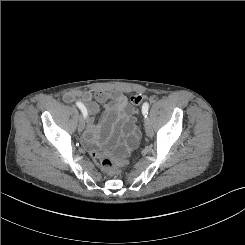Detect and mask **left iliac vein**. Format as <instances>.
I'll return each instance as SVG.
<instances>
[{
	"mask_svg": "<svg viewBox=\"0 0 245 245\" xmlns=\"http://www.w3.org/2000/svg\"><path fill=\"white\" fill-rule=\"evenodd\" d=\"M144 123H145L146 134L148 137H151L153 135V128L151 122L148 118L145 117Z\"/></svg>",
	"mask_w": 245,
	"mask_h": 245,
	"instance_id": "1",
	"label": "left iliac vein"
}]
</instances>
